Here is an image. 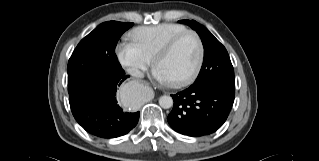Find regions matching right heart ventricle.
I'll return each mask as SVG.
<instances>
[{
  "instance_id": "1",
  "label": "right heart ventricle",
  "mask_w": 319,
  "mask_h": 161,
  "mask_svg": "<svg viewBox=\"0 0 319 161\" xmlns=\"http://www.w3.org/2000/svg\"><path fill=\"white\" fill-rule=\"evenodd\" d=\"M186 30L183 25L163 23L137 28L132 31L130 37L132 43L151 61L168 40Z\"/></svg>"
}]
</instances>
